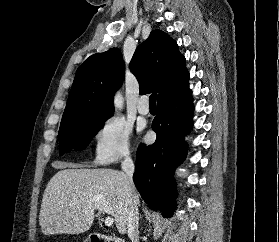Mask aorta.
I'll list each match as a JSON object with an SVG mask.
<instances>
[{"instance_id":"1","label":"aorta","mask_w":279,"mask_h":242,"mask_svg":"<svg viewBox=\"0 0 279 242\" xmlns=\"http://www.w3.org/2000/svg\"><path fill=\"white\" fill-rule=\"evenodd\" d=\"M123 103H124V100H123L122 95L120 93H117V95L115 96V101H114L115 108L122 109Z\"/></svg>"}]
</instances>
